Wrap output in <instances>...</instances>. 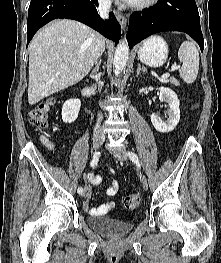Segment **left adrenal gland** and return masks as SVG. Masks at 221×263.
Listing matches in <instances>:
<instances>
[{
  "mask_svg": "<svg viewBox=\"0 0 221 263\" xmlns=\"http://www.w3.org/2000/svg\"><path fill=\"white\" fill-rule=\"evenodd\" d=\"M143 72V73H147V69L144 68V67H141L140 63H138V68H137V71H136V77L139 76L140 72Z\"/></svg>",
  "mask_w": 221,
  "mask_h": 263,
  "instance_id": "1",
  "label": "left adrenal gland"
}]
</instances>
